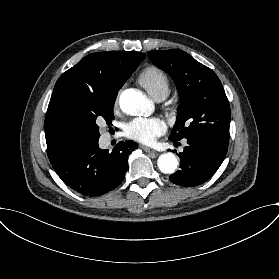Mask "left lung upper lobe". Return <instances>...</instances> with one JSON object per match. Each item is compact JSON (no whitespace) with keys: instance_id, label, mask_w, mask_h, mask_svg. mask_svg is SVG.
<instances>
[{"instance_id":"5c2ea615","label":"left lung upper lobe","mask_w":279,"mask_h":279,"mask_svg":"<svg viewBox=\"0 0 279 279\" xmlns=\"http://www.w3.org/2000/svg\"><path fill=\"white\" fill-rule=\"evenodd\" d=\"M148 57L172 77L180 96L170 138L206 135L229 140L231 110L214 71L182 50L150 51Z\"/></svg>"}]
</instances>
